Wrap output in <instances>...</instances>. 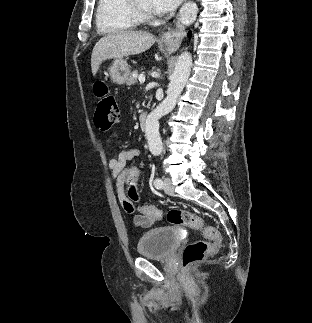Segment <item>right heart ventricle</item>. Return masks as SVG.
I'll return each instance as SVG.
<instances>
[{
  "label": "right heart ventricle",
  "mask_w": 312,
  "mask_h": 323,
  "mask_svg": "<svg viewBox=\"0 0 312 323\" xmlns=\"http://www.w3.org/2000/svg\"><path fill=\"white\" fill-rule=\"evenodd\" d=\"M142 13L130 9L123 0L96 1L94 11L95 29L101 33H116L117 29H132L137 20H142Z\"/></svg>",
  "instance_id": "e07e8e85"
}]
</instances>
